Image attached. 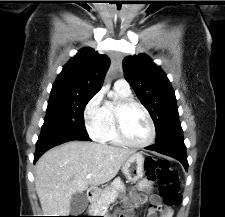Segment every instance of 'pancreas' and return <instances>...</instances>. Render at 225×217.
Returning <instances> with one entry per match:
<instances>
[{
    "label": "pancreas",
    "mask_w": 225,
    "mask_h": 217,
    "mask_svg": "<svg viewBox=\"0 0 225 217\" xmlns=\"http://www.w3.org/2000/svg\"><path fill=\"white\" fill-rule=\"evenodd\" d=\"M124 191L125 185L120 178H116L109 187L100 193L99 197L91 204L89 211L94 213L93 215H104L107 207L118 197L119 192Z\"/></svg>",
    "instance_id": "obj_1"
}]
</instances>
